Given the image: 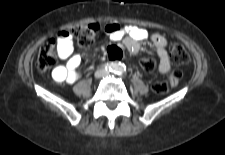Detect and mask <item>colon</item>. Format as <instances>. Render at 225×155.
Instances as JSON below:
<instances>
[{"label": "colon", "mask_w": 225, "mask_h": 155, "mask_svg": "<svg viewBox=\"0 0 225 155\" xmlns=\"http://www.w3.org/2000/svg\"><path fill=\"white\" fill-rule=\"evenodd\" d=\"M102 26L99 23H91L87 25L76 26L71 30V37L74 38L80 47H88L92 44L96 36L101 32ZM104 30L107 32L110 30L109 26H105ZM106 53L112 60L122 59L124 57L123 52L115 43H110L106 47ZM57 59L56 40H47L40 48L36 66L40 71H46L50 69ZM170 59L175 65L184 64L189 60V55L185 47L177 42L173 41L170 45ZM141 66L145 70L152 71L154 69V61L150 57H145L141 61ZM182 73L180 70H173L166 80L157 81L153 85V90L157 94H165L171 88L175 87Z\"/></svg>", "instance_id": "colon-1"}]
</instances>
